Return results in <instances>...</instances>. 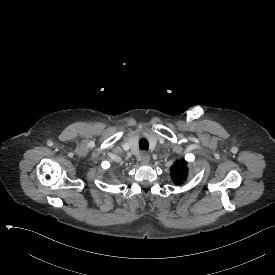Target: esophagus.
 <instances>
[{"instance_id":"34e87169","label":"esophagus","mask_w":275,"mask_h":275,"mask_svg":"<svg viewBox=\"0 0 275 275\" xmlns=\"http://www.w3.org/2000/svg\"><path fill=\"white\" fill-rule=\"evenodd\" d=\"M149 160H150V158H149V155L147 153H142L141 154V163L143 165H147L149 163Z\"/></svg>"}]
</instances>
